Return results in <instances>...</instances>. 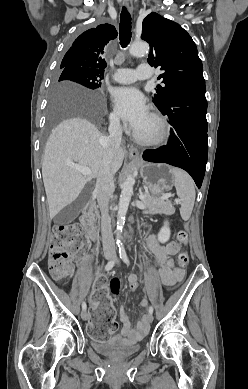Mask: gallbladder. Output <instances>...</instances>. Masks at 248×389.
Returning a JSON list of instances; mask_svg holds the SVG:
<instances>
[{"label": "gallbladder", "mask_w": 248, "mask_h": 389, "mask_svg": "<svg viewBox=\"0 0 248 389\" xmlns=\"http://www.w3.org/2000/svg\"><path fill=\"white\" fill-rule=\"evenodd\" d=\"M88 194L89 190L88 186H86L78 199L57 216V221L60 222L62 220H67L69 218L70 212L72 210L78 209L86 201Z\"/></svg>", "instance_id": "obj_1"}]
</instances>
